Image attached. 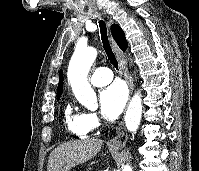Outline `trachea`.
Here are the masks:
<instances>
[{
  "instance_id": "obj_1",
  "label": "trachea",
  "mask_w": 199,
  "mask_h": 171,
  "mask_svg": "<svg viewBox=\"0 0 199 171\" xmlns=\"http://www.w3.org/2000/svg\"><path fill=\"white\" fill-rule=\"evenodd\" d=\"M99 26H100L103 48L107 54V57H108L110 63L118 70V61L116 59V56L112 50V47H111L109 39H108L106 24L104 21L100 20Z\"/></svg>"
}]
</instances>
